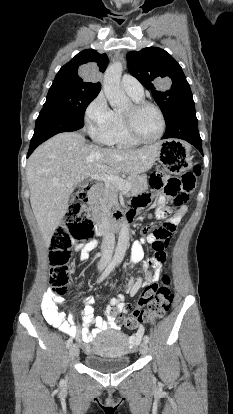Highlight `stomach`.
I'll list each match as a JSON object with an SVG mask.
<instances>
[{"label": "stomach", "instance_id": "obj_1", "mask_svg": "<svg viewBox=\"0 0 233 414\" xmlns=\"http://www.w3.org/2000/svg\"><path fill=\"white\" fill-rule=\"evenodd\" d=\"M156 160L164 169L173 174H181L192 166L189 147L175 139L159 142Z\"/></svg>", "mask_w": 233, "mask_h": 414}]
</instances>
